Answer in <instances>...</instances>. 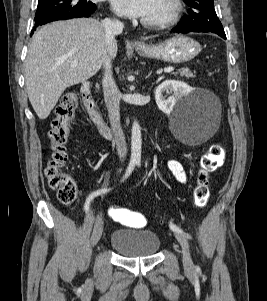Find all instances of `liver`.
<instances>
[{
  "instance_id": "liver-1",
  "label": "liver",
  "mask_w": 267,
  "mask_h": 301,
  "mask_svg": "<svg viewBox=\"0 0 267 301\" xmlns=\"http://www.w3.org/2000/svg\"><path fill=\"white\" fill-rule=\"evenodd\" d=\"M117 50L115 39L106 48L104 29L94 18L41 27L32 38L25 62L26 89L39 119L49 116L68 87L85 82L100 70L105 51L113 59ZM73 61H77L74 67Z\"/></svg>"
}]
</instances>
